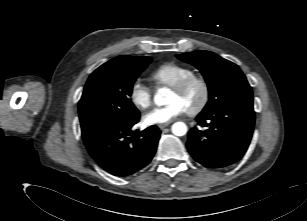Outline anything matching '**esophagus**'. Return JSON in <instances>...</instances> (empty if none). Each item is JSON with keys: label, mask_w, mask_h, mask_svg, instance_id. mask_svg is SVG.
Masks as SVG:
<instances>
[{"label": "esophagus", "mask_w": 307, "mask_h": 221, "mask_svg": "<svg viewBox=\"0 0 307 221\" xmlns=\"http://www.w3.org/2000/svg\"><path fill=\"white\" fill-rule=\"evenodd\" d=\"M169 124H170V122H169V123H165V124L158 125V127L162 130V129L166 128Z\"/></svg>", "instance_id": "1"}]
</instances>
